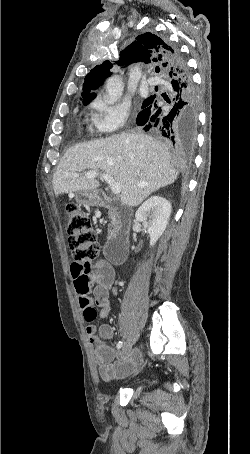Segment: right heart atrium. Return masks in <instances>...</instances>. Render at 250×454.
Segmentation results:
<instances>
[{
  "label": "right heart atrium",
  "instance_id": "1",
  "mask_svg": "<svg viewBox=\"0 0 250 454\" xmlns=\"http://www.w3.org/2000/svg\"><path fill=\"white\" fill-rule=\"evenodd\" d=\"M98 113L94 117V125L101 133H114L121 130L130 115V106L125 102L114 104L99 103Z\"/></svg>",
  "mask_w": 250,
  "mask_h": 454
}]
</instances>
